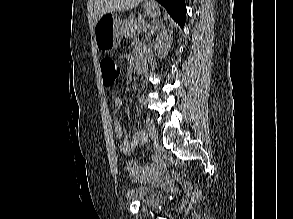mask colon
Returning <instances> with one entry per match:
<instances>
[{
    "instance_id": "obj_1",
    "label": "colon",
    "mask_w": 293,
    "mask_h": 219,
    "mask_svg": "<svg viewBox=\"0 0 293 219\" xmlns=\"http://www.w3.org/2000/svg\"><path fill=\"white\" fill-rule=\"evenodd\" d=\"M103 83L105 86H112L117 77L119 76L120 69L117 61L111 56H104L100 62ZM148 139L145 138L142 144L147 143ZM126 169L132 173L135 172V163L132 160L126 162Z\"/></svg>"
}]
</instances>
